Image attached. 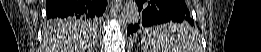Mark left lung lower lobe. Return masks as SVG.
I'll use <instances>...</instances> for the list:
<instances>
[{
	"mask_svg": "<svg viewBox=\"0 0 261 52\" xmlns=\"http://www.w3.org/2000/svg\"><path fill=\"white\" fill-rule=\"evenodd\" d=\"M139 9V18L135 24L129 25L127 34L137 31L142 27H149L168 22H183L186 30L181 35H189V24L194 22L184 0H136ZM191 36V35H190ZM176 37V36H175Z\"/></svg>",
	"mask_w": 261,
	"mask_h": 52,
	"instance_id": "1",
	"label": "left lung lower lobe"
}]
</instances>
